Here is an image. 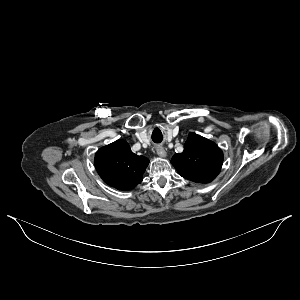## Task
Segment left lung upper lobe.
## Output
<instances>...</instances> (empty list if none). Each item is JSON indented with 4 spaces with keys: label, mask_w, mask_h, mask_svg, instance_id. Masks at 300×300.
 Instances as JSON below:
<instances>
[{
    "label": "left lung upper lobe",
    "mask_w": 300,
    "mask_h": 300,
    "mask_svg": "<svg viewBox=\"0 0 300 300\" xmlns=\"http://www.w3.org/2000/svg\"><path fill=\"white\" fill-rule=\"evenodd\" d=\"M171 162L185 179L207 184L219 174L223 163V152L214 142L190 133L184 151L175 154Z\"/></svg>",
    "instance_id": "left-lung-upper-lobe-1"
}]
</instances>
